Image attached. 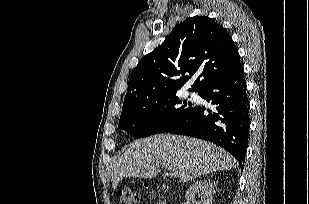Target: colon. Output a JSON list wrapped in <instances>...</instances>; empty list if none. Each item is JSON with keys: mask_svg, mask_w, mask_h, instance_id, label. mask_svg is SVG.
Here are the masks:
<instances>
[{"mask_svg": "<svg viewBox=\"0 0 309 204\" xmlns=\"http://www.w3.org/2000/svg\"><path fill=\"white\" fill-rule=\"evenodd\" d=\"M159 191H164L165 187H160ZM120 204H135L139 201V194L132 188H122L117 191Z\"/></svg>", "mask_w": 309, "mask_h": 204, "instance_id": "1", "label": "colon"}]
</instances>
